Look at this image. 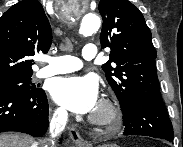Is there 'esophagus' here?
Masks as SVG:
<instances>
[{"label":"esophagus","mask_w":183,"mask_h":147,"mask_svg":"<svg viewBox=\"0 0 183 147\" xmlns=\"http://www.w3.org/2000/svg\"><path fill=\"white\" fill-rule=\"evenodd\" d=\"M68 132L73 140V142L78 146H88L87 141H85L79 134L77 128L74 125L68 126Z\"/></svg>","instance_id":"obj_1"}]
</instances>
